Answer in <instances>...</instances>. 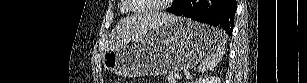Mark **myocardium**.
I'll list each match as a JSON object with an SVG mask.
<instances>
[{"label": "myocardium", "instance_id": "f54148a6", "mask_svg": "<svg viewBox=\"0 0 307 83\" xmlns=\"http://www.w3.org/2000/svg\"><path fill=\"white\" fill-rule=\"evenodd\" d=\"M125 1L128 2V8L130 11L133 10L137 13H153V12L164 10L166 7V4L172 2L173 0H162V2L157 5H152V6L145 7V8L138 7L137 5L133 3L132 0H125Z\"/></svg>", "mask_w": 307, "mask_h": 83}]
</instances>
